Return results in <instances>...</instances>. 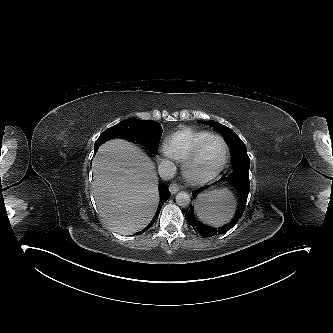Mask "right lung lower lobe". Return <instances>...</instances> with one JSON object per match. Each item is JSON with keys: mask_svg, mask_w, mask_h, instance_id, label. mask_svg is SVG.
I'll return each mask as SVG.
<instances>
[{"mask_svg": "<svg viewBox=\"0 0 333 333\" xmlns=\"http://www.w3.org/2000/svg\"><path fill=\"white\" fill-rule=\"evenodd\" d=\"M112 138H123V137L118 136L114 133L104 131L101 134V136L95 142V146H94L95 152L94 153L97 152V150H98V148L100 147L101 144H103L105 141H107L109 139H112ZM124 139H126V138H124ZM159 193H160V203H159L158 209H157L152 221L148 224L147 227L144 228V230L140 231L136 235L144 233L148 228H150L155 223V221L157 220V218L159 216L161 207L167 201V199L170 197V191H169L168 187H166L165 185H160L159 186Z\"/></svg>", "mask_w": 333, "mask_h": 333, "instance_id": "1", "label": "right lung lower lobe"}]
</instances>
